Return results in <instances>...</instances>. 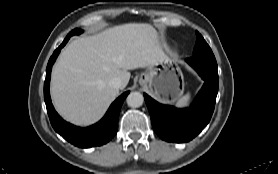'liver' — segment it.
Instances as JSON below:
<instances>
[{
    "label": "liver",
    "mask_w": 278,
    "mask_h": 174,
    "mask_svg": "<svg viewBox=\"0 0 278 174\" xmlns=\"http://www.w3.org/2000/svg\"><path fill=\"white\" fill-rule=\"evenodd\" d=\"M166 59L157 31L147 23H127L81 37L61 52L53 67L51 98L57 112L78 126L99 121L119 95L109 81L118 77L124 89L128 70L152 68Z\"/></svg>",
    "instance_id": "6515ba94"
}]
</instances>
